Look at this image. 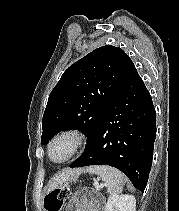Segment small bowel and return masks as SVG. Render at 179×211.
Wrapping results in <instances>:
<instances>
[{"label":"small bowel","instance_id":"c3829d8e","mask_svg":"<svg viewBox=\"0 0 179 211\" xmlns=\"http://www.w3.org/2000/svg\"><path fill=\"white\" fill-rule=\"evenodd\" d=\"M65 211H104V199L94 190H79L70 200Z\"/></svg>","mask_w":179,"mask_h":211}]
</instances>
